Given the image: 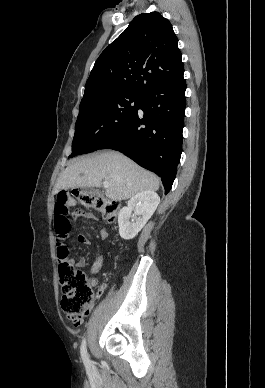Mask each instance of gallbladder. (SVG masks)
<instances>
[{"mask_svg":"<svg viewBox=\"0 0 265 388\" xmlns=\"http://www.w3.org/2000/svg\"><path fill=\"white\" fill-rule=\"evenodd\" d=\"M82 194H86V196H91V194H100L99 190H93V188H82Z\"/></svg>","mask_w":265,"mask_h":388,"instance_id":"gallbladder-1","label":"gallbladder"}]
</instances>
